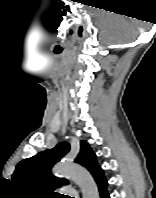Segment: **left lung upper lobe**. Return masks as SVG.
<instances>
[{
	"instance_id": "obj_1",
	"label": "left lung upper lobe",
	"mask_w": 156,
	"mask_h": 198,
	"mask_svg": "<svg viewBox=\"0 0 156 198\" xmlns=\"http://www.w3.org/2000/svg\"><path fill=\"white\" fill-rule=\"evenodd\" d=\"M80 152L75 162L86 167L95 178L102 168L97 163V157L86 141H81ZM70 145L59 143L50 150H45L31 158L22 160L17 166L12 180L17 185L40 197L53 195L56 187L68 184L66 179H60L51 174L52 166L68 153Z\"/></svg>"
}]
</instances>
